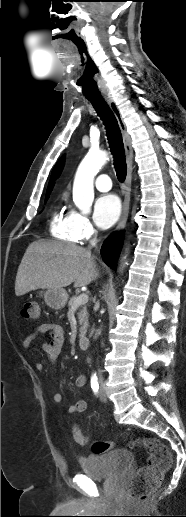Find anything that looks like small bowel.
<instances>
[{"label":"small bowel","mask_w":186,"mask_h":517,"mask_svg":"<svg viewBox=\"0 0 186 517\" xmlns=\"http://www.w3.org/2000/svg\"><path fill=\"white\" fill-rule=\"evenodd\" d=\"M49 335V340L44 342L43 350L47 355V362L50 368L53 370L55 362L58 356L64 351V330L61 326L52 324V323H43L36 327L24 340L23 346L25 348H29L31 344L42 335ZM45 366V361H40L37 363V368L42 369ZM86 376L79 375L74 382L75 387L82 388L86 385ZM53 401L56 403H60L62 401L61 393H54ZM87 402L84 400H79L75 404L69 406L66 409V414L71 415L74 413H81L87 409ZM82 434V433H81ZM83 435V434H82ZM85 436V435H83ZM85 442L79 443L84 445L88 442V437L85 436Z\"/></svg>","instance_id":"obj_1"}]
</instances>
